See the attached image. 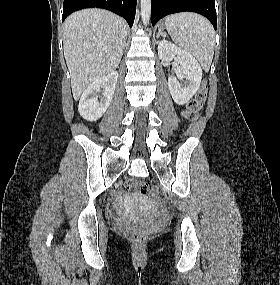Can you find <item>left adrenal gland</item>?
Returning <instances> with one entry per match:
<instances>
[{
	"instance_id": "obj_1",
	"label": "left adrenal gland",
	"mask_w": 280,
	"mask_h": 285,
	"mask_svg": "<svg viewBox=\"0 0 280 285\" xmlns=\"http://www.w3.org/2000/svg\"><path fill=\"white\" fill-rule=\"evenodd\" d=\"M161 34H162V27L159 29L156 37L159 38Z\"/></svg>"
}]
</instances>
